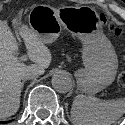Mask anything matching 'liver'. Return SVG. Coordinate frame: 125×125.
Instances as JSON below:
<instances>
[{
    "mask_svg": "<svg viewBox=\"0 0 125 125\" xmlns=\"http://www.w3.org/2000/svg\"><path fill=\"white\" fill-rule=\"evenodd\" d=\"M17 34L24 40L29 59L34 64L26 65L15 56L18 43L6 21L0 20V119L14 115L20 107L21 80L28 72L43 74L50 65L52 55L38 36L20 22L13 19Z\"/></svg>",
    "mask_w": 125,
    "mask_h": 125,
    "instance_id": "obj_1",
    "label": "liver"
}]
</instances>
